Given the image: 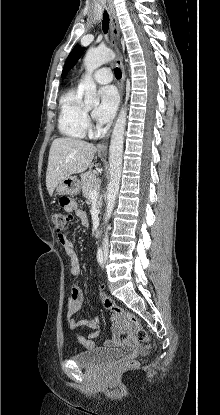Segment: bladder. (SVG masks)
Wrapping results in <instances>:
<instances>
[{"label": "bladder", "instance_id": "1", "mask_svg": "<svg viewBox=\"0 0 220 415\" xmlns=\"http://www.w3.org/2000/svg\"><path fill=\"white\" fill-rule=\"evenodd\" d=\"M122 355L121 349H92L76 353L71 357V360L78 366L90 367L115 360Z\"/></svg>", "mask_w": 220, "mask_h": 415}]
</instances>
